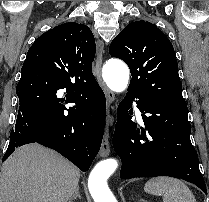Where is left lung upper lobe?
Here are the masks:
<instances>
[{"label": "left lung upper lobe", "mask_w": 209, "mask_h": 202, "mask_svg": "<svg viewBox=\"0 0 209 202\" xmlns=\"http://www.w3.org/2000/svg\"><path fill=\"white\" fill-rule=\"evenodd\" d=\"M109 53L126 62L131 72L128 92L149 100L186 106L174 48L154 24H128L111 42Z\"/></svg>", "instance_id": "5c2ea615"}]
</instances>
